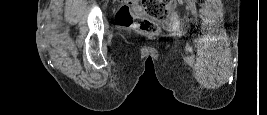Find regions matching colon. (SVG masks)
I'll list each match as a JSON object with an SVG mask.
<instances>
[{
  "mask_svg": "<svg viewBox=\"0 0 267 115\" xmlns=\"http://www.w3.org/2000/svg\"><path fill=\"white\" fill-rule=\"evenodd\" d=\"M174 0H145V10L157 21H164L168 16L169 6ZM116 20L121 26L134 25L139 32L145 35H157L160 27L157 22L136 16L129 4H123L117 14Z\"/></svg>",
  "mask_w": 267,
  "mask_h": 115,
  "instance_id": "1",
  "label": "colon"
}]
</instances>
